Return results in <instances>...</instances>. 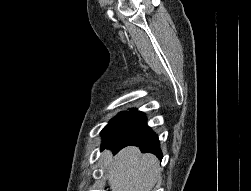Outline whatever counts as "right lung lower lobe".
Segmentation results:
<instances>
[{
	"label": "right lung lower lobe",
	"mask_w": 251,
	"mask_h": 191,
	"mask_svg": "<svg viewBox=\"0 0 251 191\" xmlns=\"http://www.w3.org/2000/svg\"><path fill=\"white\" fill-rule=\"evenodd\" d=\"M130 145L139 147L143 153H153L158 158L162 159L159 139L157 134L147 125L144 114H141L120 134L107 143L102 144L101 149L108 148L111 149L113 153H117L122 148Z\"/></svg>",
	"instance_id": "obj_1"
}]
</instances>
